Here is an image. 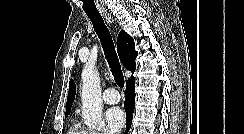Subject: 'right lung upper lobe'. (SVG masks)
Here are the masks:
<instances>
[{"instance_id": "cb5924a9", "label": "right lung upper lobe", "mask_w": 244, "mask_h": 134, "mask_svg": "<svg viewBox=\"0 0 244 134\" xmlns=\"http://www.w3.org/2000/svg\"><path fill=\"white\" fill-rule=\"evenodd\" d=\"M135 43L131 36H129L125 31H121L117 38V51L121 63L130 70L132 73L136 68L135 59L137 57V52L134 49ZM76 94V86L73 80L69 83V93L67 97L66 104V114H69L71 110L72 103L74 101Z\"/></svg>"}]
</instances>
